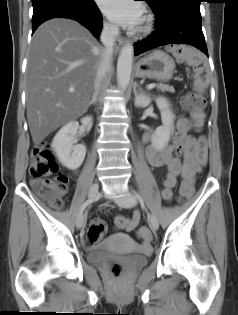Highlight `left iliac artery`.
Segmentation results:
<instances>
[{"instance_id":"obj_1","label":"left iliac artery","mask_w":238,"mask_h":315,"mask_svg":"<svg viewBox=\"0 0 238 315\" xmlns=\"http://www.w3.org/2000/svg\"><path fill=\"white\" fill-rule=\"evenodd\" d=\"M133 194L136 196V197H139V193H137L136 191L133 192Z\"/></svg>"}]
</instances>
